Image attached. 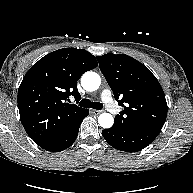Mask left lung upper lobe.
<instances>
[{"label":"left lung upper lobe","instance_id":"1","mask_svg":"<svg viewBox=\"0 0 193 193\" xmlns=\"http://www.w3.org/2000/svg\"><path fill=\"white\" fill-rule=\"evenodd\" d=\"M99 67L118 104L124 110L114 126L131 132L161 131L167 116V103L161 85L150 70L126 55L97 56Z\"/></svg>","mask_w":193,"mask_h":193}]
</instances>
